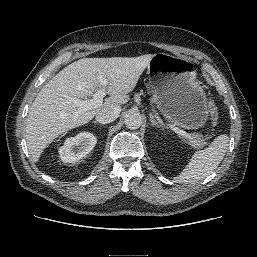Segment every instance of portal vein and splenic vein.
Segmentation results:
<instances>
[{"instance_id": "1", "label": "portal vein and splenic vein", "mask_w": 257, "mask_h": 257, "mask_svg": "<svg viewBox=\"0 0 257 257\" xmlns=\"http://www.w3.org/2000/svg\"><path fill=\"white\" fill-rule=\"evenodd\" d=\"M98 81L100 82L102 88L97 91L94 95L93 98L90 100H80V99H76V98H71L70 101L76 106L78 107V111H85V110H91V109H95L98 108L102 105L103 103V98L106 95V86L108 85V80L102 76L99 75L98 76ZM169 128L171 130H173L175 133L179 134L180 136L184 137V138H191V134L187 133L186 131L176 127L175 125L172 124H168Z\"/></svg>"}]
</instances>
